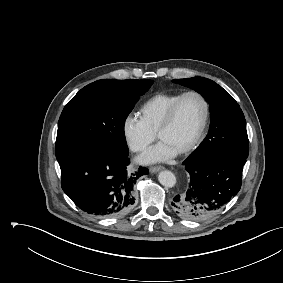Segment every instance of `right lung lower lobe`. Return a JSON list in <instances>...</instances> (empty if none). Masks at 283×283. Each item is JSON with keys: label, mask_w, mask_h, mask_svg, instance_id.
I'll use <instances>...</instances> for the list:
<instances>
[{"label": "right lung lower lobe", "mask_w": 283, "mask_h": 283, "mask_svg": "<svg viewBox=\"0 0 283 283\" xmlns=\"http://www.w3.org/2000/svg\"><path fill=\"white\" fill-rule=\"evenodd\" d=\"M128 154L92 149L60 163L63 191L83 211L99 217L120 216L135 203L134 185L145 167L130 172Z\"/></svg>", "instance_id": "98d812e1"}]
</instances>
